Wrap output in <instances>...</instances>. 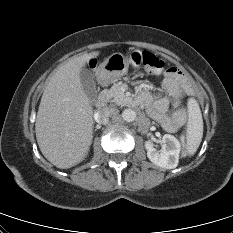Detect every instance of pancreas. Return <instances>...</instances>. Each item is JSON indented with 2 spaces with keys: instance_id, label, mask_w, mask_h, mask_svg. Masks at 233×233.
I'll return each instance as SVG.
<instances>
[{
  "instance_id": "obj_1",
  "label": "pancreas",
  "mask_w": 233,
  "mask_h": 233,
  "mask_svg": "<svg viewBox=\"0 0 233 233\" xmlns=\"http://www.w3.org/2000/svg\"><path fill=\"white\" fill-rule=\"evenodd\" d=\"M104 93L117 105L128 106L131 102V99L126 97L121 90L119 83H115L109 90H105Z\"/></svg>"
}]
</instances>
